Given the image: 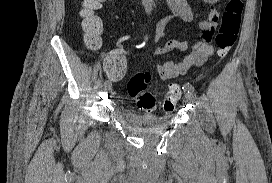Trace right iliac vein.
I'll return each instance as SVG.
<instances>
[{
    "mask_svg": "<svg viewBox=\"0 0 272 183\" xmlns=\"http://www.w3.org/2000/svg\"><path fill=\"white\" fill-rule=\"evenodd\" d=\"M104 90L111 93L112 92V83L107 82L106 84H104Z\"/></svg>",
    "mask_w": 272,
    "mask_h": 183,
    "instance_id": "63e3f726",
    "label": "right iliac vein"
}]
</instances>
